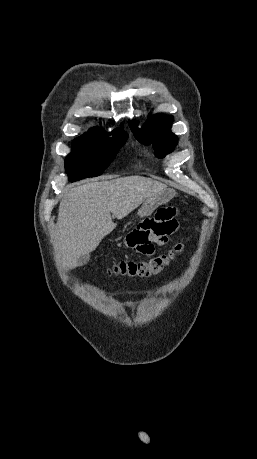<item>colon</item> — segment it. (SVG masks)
<instances>
[{"mask_svg":"<svg viewBox=\"0 0 257 459\" xmlns=\"http://www.w3.org/2000/svg\"><path fill=\"white\" fill-rule=\"evenodd\" d=\"M182 251L183 245L178 244L167 253L146 261L121 260L112 266L110 272L133 278H149L162 272Z\"/></svg>","mask_w":257,"mask_h":459,"instance_id":"colon-1","label":"colon"}]
</instances>
